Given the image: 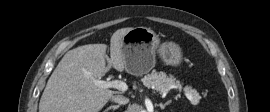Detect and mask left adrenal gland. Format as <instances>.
Segmentation results:
<instances>
[{
	"instance_id": "a2214340",
	"label": "left adrenal gland",
	"mask_w": 270,
	"mask_h": 112,
	"mask_svg": "<svg viewBox=\"0 0 270 112\" xmlns=\"http://www.w3.org/2000/svg\"><path fill=\"white\" fill-rule=\"evenodd\" d=\"M170 103H171V101H167L165 104L160 103L159 106H160V108L163 110V109H165V107H166L167 105H169Z\"/></svg>"
}]
</instances>
